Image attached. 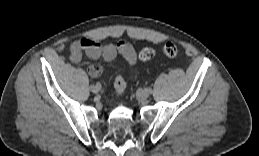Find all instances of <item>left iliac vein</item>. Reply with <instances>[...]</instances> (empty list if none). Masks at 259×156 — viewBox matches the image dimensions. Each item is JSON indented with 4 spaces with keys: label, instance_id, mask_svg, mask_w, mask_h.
Listing matches in <instances>:
<instances>
[{
    "label": "left iliac vein",
    "instance_id": "4c4485c4",
    "mask_svg": "<svg viewBox=\"0 0 259 156\" xmlns=\"http://www.w3.org/2000/svg\"><path fill=\"white\" fill-rule=\"evenodd\" d=\"M150 95H151V94H149L148 89H144V90L142 91V97H143V98H148Z\"/></svg>",
    "mask_w": 259,
    "mask_h": 156
}]
</instances>
